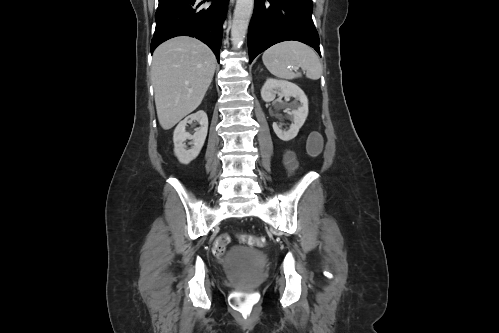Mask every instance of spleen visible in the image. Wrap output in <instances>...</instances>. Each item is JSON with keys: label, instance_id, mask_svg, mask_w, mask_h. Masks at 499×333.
<instances>
[{"label": "spleen", "instance_id": "1", "mask_svg": "<svg viewBox=\"0 0 499 333\" xmlns=\"http://www.w3.org/2000/svg\"><path fill=\"white\" fill-rule=\"evenodd\" d=\"M262 61L268 71L282 79L300 77L290 66L301 67L306 71V77L317 80L322 74V64L317 54L307 45L297 41H285L273 45L262 55Z\"/></svg>", "mask_w": 499, "mask_h": 333}]
</instances>
